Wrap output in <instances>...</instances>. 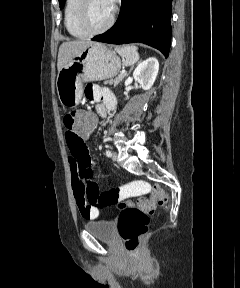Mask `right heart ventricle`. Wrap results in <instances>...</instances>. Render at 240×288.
<instances>
[{
    "instance_id": "1",
    "label": "right heart ventricle",
    "mask_w": 240,
    "mask_h": 288,
    "mask_svg": "<svg viewBox=\"0 0 240 288\" xmlns=\"http://www.w3.org/2000/svg\"><path fill=\"white\" fill-rule=\"evenodd\" d=\"M81 0H66L64 9V24L67 32L75 38H84L85 33L78 25L77 15Z\"/></svg>"
}]
</instances>
